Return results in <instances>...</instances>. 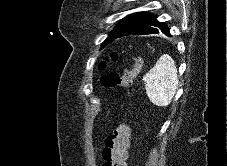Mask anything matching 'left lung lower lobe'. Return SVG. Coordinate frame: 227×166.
<instances>
[{
  "label": "left lung lower lobe",
  "instance_id": "left-lung-lower-lobe-1",
  "mask_svg": "<svg viewBox=\"0 0 227 166\" xmlns=\"http://www.w3.org/2000/svg\"><path fill=\"white\" fill-rule=\"evenodd\" d=\"M159 31H162L167 36H171L167 25L164 23L158 22L156 20L155 15L148 12H139L131 27L117 34L114 39L129 35V34L147 35V34L159 33Z\"/></svg>",
  "mask_w": 227,
  "mask_h": 166
}]
</instances>
